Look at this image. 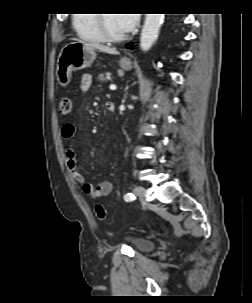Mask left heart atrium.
I'll use <instances>...</instances> for the list:
<instances>
[{
  "mask_svg": "<svg viewBox=\"0 0 252 303\" xmlns=\"http://www.w3.org/2000/svg\"><path fill=\"white\" fill-rule=\"evenodd\" d=\"M122 28L130 31L135 28L138 23V14H117Z\"/></svg>",
  "mask_w": 252,
  "mask_h": 303,
  "instance_id": "obj_1",
  "label": "left heart atrium"
}]
</instances>
